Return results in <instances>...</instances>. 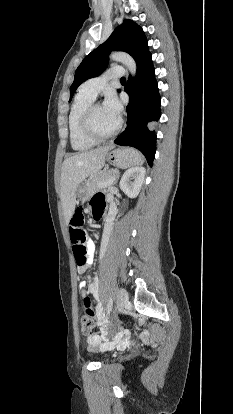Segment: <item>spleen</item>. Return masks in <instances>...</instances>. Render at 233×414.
I'll list each match as a JSON object with an SVG mask.
<instances>
[{
  "mask_svg": "<svg viewBox=\"0 0 233 414\" xmlns=\"http://www.w3.org/2000/svg\"><path fill=\"white\" fill-rule=\"evenodd\" d=\"M127 149H131V148H127ZM133 153L136 156V159H135L133 165H142L143 164V158H142L141 154L136 150H134Z\"/></svg>",
  "mask_w": 233,
  "mask_h": 414,
  "instance_id": "3e777b00",
  "label": "spleen"
}]
</instances>
